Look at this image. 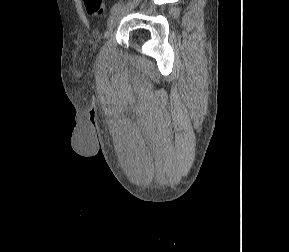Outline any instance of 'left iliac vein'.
Returning a JSON list of instances; mask_svg holds the SVG:
<instances>
[{
    "mask_svg": "<svg viewBox=\"0 0 289 252\" xmlns=\"http://www.w3.org/2000/svg\"><path fill=\"white\" fill-rule=\"evenodd\" d=\"M139 2V0H134L133 2L128 3L127 5L121 7L117 11L113 12L109 19H108V32H111L121 21V19L129 12L131 11Z\"/></svg>",
    "mask_w": 289,
    "mask_h": 252,
    "instance_id": "obj_1",
    "label": "left iliac vein"
}]
</instances>
